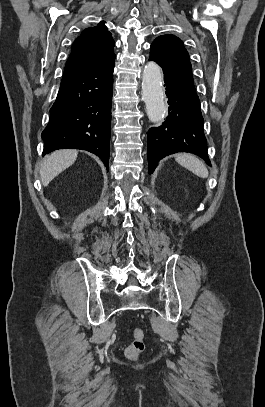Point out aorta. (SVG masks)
<instances>
[{
    "instance_id": "762f6f07",
    "label": "aorta",
    "mask_w": 265,
    "mask_h": 407,
    "mask_svg": "<svg viewBox=\"0 0 265 407\" xmlns=\"http://www.w3.org/2000/svg\"><path fill=\"white\" fill-rule=\"evenodd\" d=\"M162 80L163 75L159 65L153 61L148 62L143 70L142 100L146 105L147 116L153 123L161 122L167 110Z\"/></svg>"
}]
</instances>
